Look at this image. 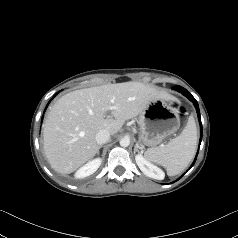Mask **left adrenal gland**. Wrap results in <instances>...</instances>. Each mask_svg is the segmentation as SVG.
I'll return each mask as SVG.
<instances>
[{
	"label": "left adrenal gland",
	"instance_id": "left-adrenal-gland-1",
	"mask_svg": "<svg viewBox=\"0 0 238 238\" xmlns=\"http://www.w3.org/2000/svg\"><path fill=\"white\" fill-rule=\"evenodd\" d=\"M139 145H138V143H136V145H135V148H134V153H136V152H138V153H141L140 151H139Z\"/></svg>",
	"mask_w": 238,
	"mask_h": 238
}]
</instances>
